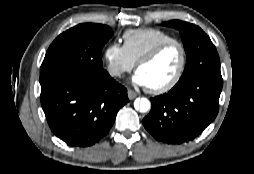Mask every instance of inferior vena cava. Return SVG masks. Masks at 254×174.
Returning <instances> with one entry per match:
<instances>
[{
	"mask_svg": "<svg viewBox=\"0 0 254 174\" xmlns=\"http://www.w3.org/2000/svg\"><path fill=\"white\" fill-rule=\"evenodd\" d=\"M113 74H114V75H120V74H121V71L116 70V71L113 72Z\"/></svg>",
	"mask_w": 254,
	"mask_h": 174,
	"instance_id": "obj_1",
	"label": "inferior vena cava"
}]
</instances>
